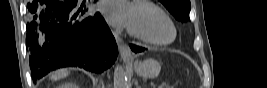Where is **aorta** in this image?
<instances>
[{"label":"aorta","mask_w":267,"mask_h":88,"mask_svg":"<svg viewBox=\"0 0 267 88\" xmlns=\"http://www.w3.org/2000/svg\"><path fill=\"white\" fill-rule=\"evenodd\" d=\"M114 88H129L125 70L121 65H117L114 71Z\"/></svg>","instance_id":"762f6f07"}]
</instances>
